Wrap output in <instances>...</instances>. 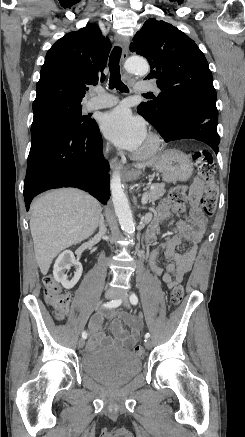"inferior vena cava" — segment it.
<instances>
[{"label":"inferior vena cava","instance_id":"inferior-vena-cava-1","mask_svg":"<svg viewBox=\"0 0 245 437\" xmlns=\"http://www.w3.org/2000/svg\"><path fill=\"white\" fill-rule=\"evenodd\" d=\"M99 227H100V231L101 232H105L106 231V227L104 225V219H101V216H100V221H99Z\"/></svg>","mask_w":245,"mask_h":437}]
</instances>
